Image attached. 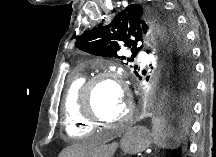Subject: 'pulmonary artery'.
<instances>
[{
  "label": "pulmonary artery",
  "mask_w": 216,
  "mask_h": 157,
  "mask_svg": "<svg viewBox=\"0 0 216 157\" xmlns=\"http://www.w3.org/2000/svg\"><path fill=\"white\" fill-rule=\"evenodd\" d=\"M139 56H140L142 59L147 58V54H146L145 52H140Z\"/></svg>",
  "instance_id": "e3ab8cb5"
}]
</instances>
